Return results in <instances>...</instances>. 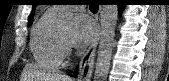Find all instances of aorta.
Segmentation results:
<instances>
[{"label":"aorta","mask_w":169,"mask_h":81,"mask_svg":"<svg viewBox=\"0 0 169 81\" xmlns=\"http://www.w3.org/2000/svg\"><path fill=\"white\" fill-rule=\"evenodd\" d=\"M117 18V5H103L100 42L97 53L94 81H106L107 79L114 45ZM57 24L63 29H70L73 26V15L68 11H61L58 15Z\"/></svg>","instance_id":"aorta-1"}]
</instances>
